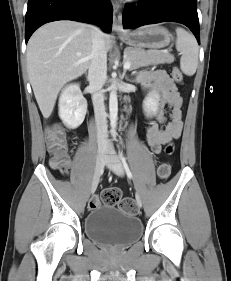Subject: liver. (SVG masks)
<instances>
[{
	"label": "liver",
	"mask_w": 231,
	"mask_h": 281,
	"mask_svg": "<svg viewBox=\"0 0 231 281\" xmlns=\"http://www.w3.org/2000/svg\"><path fill=\"white\" fill-rule=\"evenodd\" d=\"M105 48L111 37L104 34ZM92 27L75 21H55L40 27L27 46V71L35 98L44 118H49L57 96L69 81L89 68Z\"/></svg>",
	"instance_id": "obj_1"
}]
</instances>
